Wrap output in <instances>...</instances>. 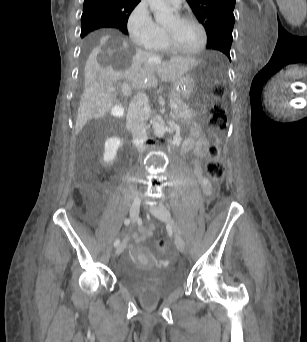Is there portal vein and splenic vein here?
<instances>
[{"label":"portal vein and splenic vein","instance_id":"18ae733b","mask_svg":"<svg viewBox=\"0 0 307 342\" xmlns=\"http://www.w3.org/2000/svg\"><path fill=\"white\" fill-rule=\"evenodd\" d=\"M122 84L126 85L127 81L123 80ZM120 91L121 93H127L130 96L132 94L131 92L133 91V88L131 86H121ZM170 109L172 111H176L178 108L176 106H172Z\"/></svg>","mask_w":307,"mask_h":342}]
</instances>
